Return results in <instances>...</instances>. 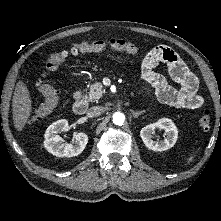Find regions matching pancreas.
<instances>
[{
	"mask_svg": "<svg viewBox=\"0 0 221 221\" xmlns=\"http://www.w3.org/2000/svg\"><path fill=\"white\" fill-rule=\"evenodd\" d=\"M103 93V85L100 82H96L90 86L89 92L85 98L90 102H95L102 97Z\"/></svg>",
	"mask_w": 221,
	"mask_h": 221,
	"instance_id": "cf45deb5",
	"label": "pancreas"
}]
</instances>
